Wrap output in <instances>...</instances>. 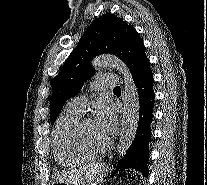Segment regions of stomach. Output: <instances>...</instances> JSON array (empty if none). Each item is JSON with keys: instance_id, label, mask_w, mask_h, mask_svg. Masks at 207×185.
<instances>
[{"instance_id": "stomach-1", "label": "stomach", "mask_w": 207, "mask_h": 185, "mask_svg": "<svg viewBox=\"0 0 207 185\" xmlns=\"http://www.w3.org/2000/svg\"><path fill=\"white\" fill-rule=\"evenodd\" d=\"M56 185H65L64 183L58 182Z\"/></svg>"}]
</instances>
